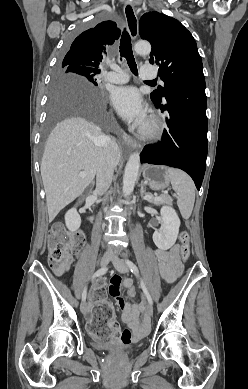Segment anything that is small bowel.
Listing matches in <instances>:
<instances>
[{
    "mask_svg": "<svg viewBox=\"0 0 248 389\" xmlns=\"http://www.w3.org/2000/svg\"><path fill=\"white\" fill-rule=\"evenodd\" d=\"M180 247L174 245L169 250L155 249L154 254L158 263L161 277L168 283L174 282L181 274L182 267L178 256ZM111 285L106 286V291L110 292L111 298L121 310V319L127 328L122 332L120 340L124 344L137 342L148 333V324L145 318H141V313L145 311V302L139 304H129L121 296L123 289H129L134 284L131 278L122 279L117 272H113L110 277ZM88 317L92 318L91 310ZM112 327V326H111ZM112 330L117 328L112 327ZM123 338L127 341H123Z\"/></svg>",
    "mask_w": 248,
    "mask_h": 389,
    "instance_id": "obj_1",
    "label": "small bowel"
}]
</instances>
